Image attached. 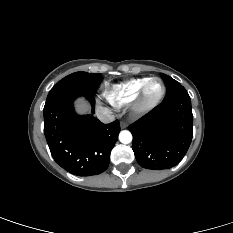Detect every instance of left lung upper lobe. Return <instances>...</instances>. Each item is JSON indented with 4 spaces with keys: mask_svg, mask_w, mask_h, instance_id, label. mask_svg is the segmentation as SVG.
<instances>
[{
    "mask_svg": "<svg viewBox=\"0 0 233 233\" xmlns=\"http://www.w3.org/2000/svg\"><path fill=\"white\" fill-rule=\"evenodd\" d=\"M160 75L166 85L167 92L173 91L176 88L181 87V84L177 82L176 80H174L173 78H171L170 76L163 74V73H161Z\"/></svg>",
    "mask_w": 233,
    "mask_h": 233,
    "instance_id": "obj_1",
    "label": "left lung upper lobe"
}]
</instances>
